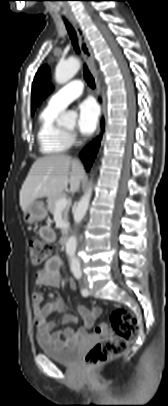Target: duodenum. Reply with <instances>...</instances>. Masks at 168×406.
<instances>
[{
	"instance_id": "1",
	"label": "duodenum",
	"mask_w": 168,
	"mask_h": 406,
	"mask_svg": "<svg viewBox=\"0 0 168 406\" xmlns=\"http://www.w3.org/2000/svg\"><path fill=\"white\" fill-rule=\"evenodd\" d=\"M68 232L65 230L60 238V243L62 246H66L68 243Z\"/></svg>"
}]
</instances>
